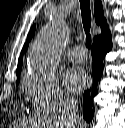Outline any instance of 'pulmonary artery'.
Returning a JSON list of instances; mask_svg holds the SVG:
<instances>
[{"mask_svg": "<svg viewBox=\"0 0 125 128\" xmlns=\"http://www.w3.org/2000/svg\"><path fill=\"white\" fill-rule=\"evenodd\" d=\"M68 58L72 62L82 63L87 60V53L83 46H76L68 53Z\"/></svg>", "mask_w": 125, "mask_h": 128, "instance_id": "1", "label": "pulmonary artery"}]
</instances>
